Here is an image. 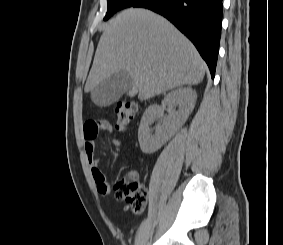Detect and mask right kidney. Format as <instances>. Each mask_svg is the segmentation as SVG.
<instances>
[{
  "label": "right kidney",
  "instance_id": "right-kidney-1",
  "mask_svg": "<svg viewBox=\"0 0 283 245\" xmlns=\"http://www.w3.org/2000/svg\"><path fill=\"white\" fill-rule=\"evenodd\" d=\"M196 99L197 94L192 88L180 87L168 93L161 105H150L144 112L138 129L142 152L151 154L161 148L186 122ZM164 110L168 111L169 117L162 124L151 129V125L162 116Z\"/></svg>",
  "mask_w": 283,
  "mask_h": 245
}]
</instances>
